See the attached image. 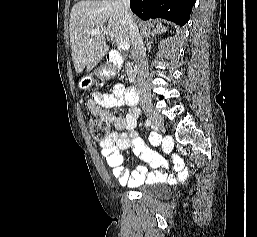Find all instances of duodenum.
<instances>
[{
    "label": "duodenum",
    "mask_w": 257,
    "mask_h": 237,
    "mask_svg": "<svg viewBox=\"0 0 257 237\" xmlns=\"http://www.w3.org/2000/svg\"><path fill=\"white\" fill-rule=\"evenodd\" d=\"M112 60H113L112 62L121 64L123 61V58L121 56H113ZM125 95L129 103H137L139 101V91L136 85L128 86L125 89Z\"/></svg>",
    "instance_id": "obj_1"
}]
</instances>
